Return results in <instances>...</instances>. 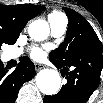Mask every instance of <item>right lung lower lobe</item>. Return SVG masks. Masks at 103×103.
Instances as JSON below:
<instances>
[{
    "label": "right lung lower lobe",
    "mask_w": 103,
    "mask_h": 103,
    "mask_svg": "<svg viewBox=\"0 0 103 103\" xmlns=\"http://www.w3.org/2000/svg\"><path fill=\"white\" fill-rule=\"evenodd\" d=\"M33 63L26 58L12 73L0 62V103H14L20 87L35 76Z\"/></svg>",
    "instance_id": "98d812e1"
}]
</instances>
